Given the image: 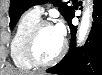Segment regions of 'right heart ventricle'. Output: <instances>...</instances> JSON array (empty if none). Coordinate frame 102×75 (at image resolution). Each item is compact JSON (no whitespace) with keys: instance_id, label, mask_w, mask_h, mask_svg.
I'll use <instances>...</instances> for the list:
<instances>
[{"instance_id":"obj_1","label":"right heart ventricle","mask_w":102,"mask_h":75,"mask_svg":"<svg viewBox=\"0 0 102 75\" xmlns=\"http://www.w3.org/2000/svg\"><path fill=\"white\" fill-rule=\"evenodd\" d=\"M39 20L40 16L31 10L26 11L19 18L10 46L13 62L19 68L30 69L33 66L27 57L25 42L30 31Z\"/></svg>"}]
</instances>
